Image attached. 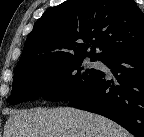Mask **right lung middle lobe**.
<instances>
[{
	"mask_svg": "<svg viewBox=\"0 0 144 137\" xmlns=\"http://www.w3.org/2000/svg\"><path fill=\"white\" fill-rule=\"evenodd\" d=\"M84 60V57H67L16 66L8 101L19 104L39 97L49 101L75 98L101 74L100 70L86 67Z\"/></svg>",
	"mask_w": 144,
	"mask_h": 137,
	"instance_id": "right-lung-middle-lobe-1",
	"label": "right lung middle lobe"
}]
</instances>
